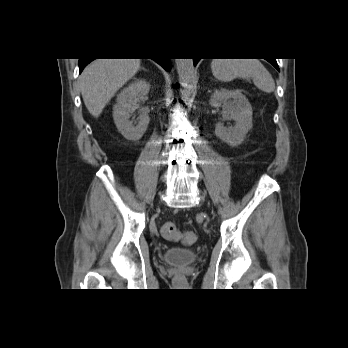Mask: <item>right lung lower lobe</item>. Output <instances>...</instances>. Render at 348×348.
Segmentation results:
<instances>
[{
	"mask_svg": "<svg viewBox=\"0 0 348 348\" xmlns=\"http://www.w3.org/2000/svg\"><path fill=\"white\" fill-rule=\"evenodd\" d=\"M93 59H87V58H83V59H79V73L82 72V70L84 69V67L89 64ZM155 60L158 64H160L165 70H169L170 68V62L168 58H161V59H153Z\"/></svg>",
	"mask_w": 348,
	"mask_h": 348,
	"instance_id": "98d812e1",
	"label": "right lung lower lobe"
}]
</instances>
